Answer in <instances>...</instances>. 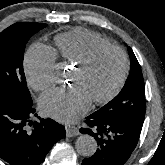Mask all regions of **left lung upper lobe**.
Here are the masks:
<instances>
[{
    "label": "left lung upper lobe",
    "instance_id": "obj_1",
    "mask_svg": "<svg viewBox=\"0 0 165 165\" xmlns=\"http://www.w3.org/2000/svg\"><path fill=\"white\" fill-rule=\"evenodd\" d=\"M128 52L131 68L124 87L113 100L91 114V117L143 125L146 110L143 75L130 47H128Z\"/></svg>",
    "mask_w": 165,
    "mask_h": 165
}]
</instances>
